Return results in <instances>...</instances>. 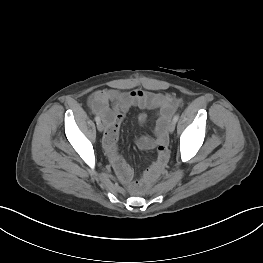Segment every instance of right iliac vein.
Segmentation results:
<instances>
[{"instance_id":"obj_1","label":"right iliac vein","mask_w":263,"mask_h":263,"mask_svg":"<svg viewBox=\"0 0 263 263\" xmlns=\"http://www.w3.org/2000/svg\"><path fill=\"white\" fill-rule=\"evenodd\" d=\"M97 129H98V131L103 132L104 125L101 122L97 123Z\"/></svg>"}]
</instances>
